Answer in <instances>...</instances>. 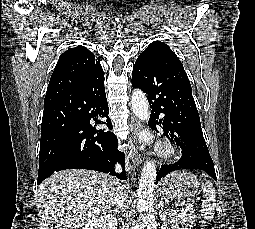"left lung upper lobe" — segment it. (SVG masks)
<instances>
[{"mask_svg":"<svg viewBox=\"0 0 255 229\" xmlns=\"http://www.w3.org/2000/svg\"><path fill=\"white\" fill-rule=\"evenodd\" d=\"M162 54H171L176 56V54L169 48L167 44L161 41H154L140 54L139 57H148Z\"/></svg>","mask_w":255,"mask_h":229,"instance_id":"left-lung-upper-lobe-1","label":"left lung upper lobe"}]
</instances>
